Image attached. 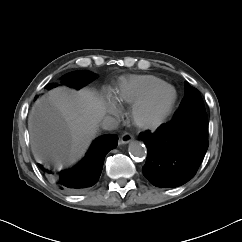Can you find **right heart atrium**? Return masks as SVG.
<instances>
[{
    "instance_id": "right-heart-atrium-1",
    "label": "right heart atrium",
    "mask_w": 242,
    "mask_h": 242,
    "mask_svg": "<svg viewBox=\"0 0 242 242\" xmlns=\"http://www.w3.org/2000/svg\"><path fill=\"white\" fill-rule=\"evenodd\" d=\"M106 109L110 114H115L119 111L120 106L114 97L108 96L106 98Z\"/></svg>"
}]
</instances>
